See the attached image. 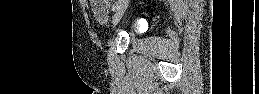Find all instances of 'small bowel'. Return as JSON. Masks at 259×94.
Here are the masks:
<instances>
[{
    "label": "small bowel",
    "mask_w": 259,
    "mask_h": 94,
    "mask_svg": "<svg viewBox=\"0 0 259 94\" xmlns=\"http://www.w3.org/2000/svg\"><path fill=\"white\" fill-rule=\"evenodd\" d=\"M100 5H104L106 7V3L97 4L95 7L100 6Z\"/></svg>",
    "instance_id": "obj_1"
}]
</instances>
